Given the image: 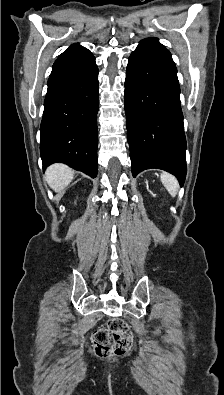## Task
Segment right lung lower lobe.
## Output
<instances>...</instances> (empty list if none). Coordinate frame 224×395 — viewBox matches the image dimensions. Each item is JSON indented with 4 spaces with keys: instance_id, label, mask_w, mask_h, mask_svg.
I'll use <instances>...</instances> for the list:
<instances>
[{
    "instance_id": "1",
    "label": "right lung lower lobe",
    "mask_w": 224,
    "mask_h": 395,
    "mask_svg": "<svg viewBox=\"0 0 224 395\" xmlns=\"http://www.w3.org/2000/svg\"><path fill=\"white\" fill-rule=\"evenodd\" d=\"M98 67L79 45L55 61L40 127L43 169L63 162L91 177L97 175Z\"/></svg>"
}]
</instances>
